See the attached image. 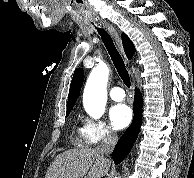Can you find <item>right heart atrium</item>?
<instances>
[{
  "label": "right heart atrium",
  "instance_id": "d8ad5b80",
  "mask_svg": "<svg viewBox=\"0 0 194 178\" xmlns=\"http://www.w3.org/2000/svg\"><path fill=\"white\" fill-rule=\"evenodd\" d=\"M114 140H116V134L105 122L83 117L82 127L78 136V141L81 145L94 146Z\"/></svg>",
  "mask_w": 194,
  "mask_h": 178
}]
</instances>
